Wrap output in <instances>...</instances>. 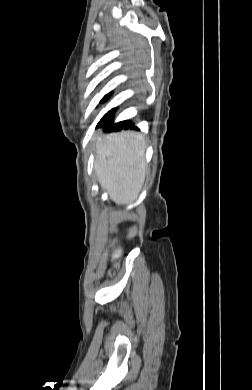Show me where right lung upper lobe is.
I'll return each instance as SVG.
<instances>
[{
    "instance_id": "right-lung-upper-lobe-1",
    "label": "right lung upper lobe",
    "mask_w": 252,
    "mask_h": 390,
    "mask_svg": "<svg viewBox=\"0 0 252 390\" xmlns=\"http://www.w3.org/2000/svg\"><path fill=\"white\" fill-rule=\"evenodd\" d=\"M107 98H108V95H106V96L102 99V101L106 100Z\"/></svg>"
}]
</instances>
